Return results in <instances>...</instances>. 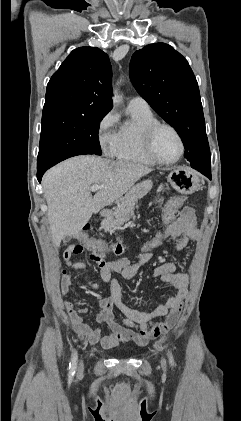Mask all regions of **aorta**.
Listing matches in <instances>:
<instances>
[{"label":"aorta","instance_id":"aorta-1","mask_svg":"<svg viewBox=\"0 0 241 421\" xmlns=\"http://www.w3.org/2000/svg\"><path fill=\"white\" fill-rule=\"evenodd\" d=\"M113 101H114V102H117V101H118V97H116V96H115V97L113 98Z\"/></svg>","mask_w":241,"mask_h":421}]
</instances>
